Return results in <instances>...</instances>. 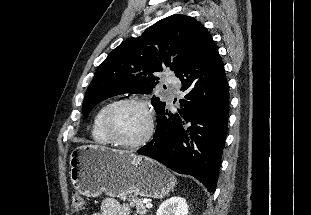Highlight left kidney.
<instances>
[{"mask_svg":"<svg viewBox=\"0 0 311 215\" xmlns=\"http://www.w3.org/2000/svg\"><path fill=\"white\" fill-rule=\"evenodd\" d=\"M188 206L186 200L175 196L164 201L157 210L156 215H187Z\"/></svg>","mask_w":311,"mask_h":215,"instance_id":"1","label":"left kidney"}]
</instances>
